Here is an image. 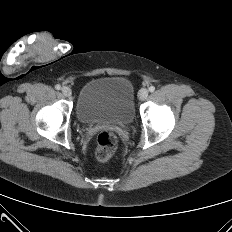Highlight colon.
I'll return each instance as SVG.
<instances>
[{"mask_svg":"<svg viewBox=\"0 0 232 232\" xmlns=\"http://www.w3.org/2000/svg\"><path fill=\"white\" fill-rule=\"evenodd\" d=\"M117 150V138L110 131H102L97 136L95 155L99 161L109 160Z\"/></svg>","mask_w":232,"mask_h":232,"instance_id":"1","label":"colon"}]
</instances>
